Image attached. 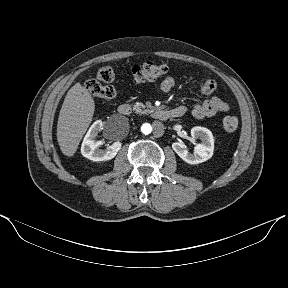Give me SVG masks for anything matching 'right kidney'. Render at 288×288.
Here are the masks:
<instances>
[{
  "instance_id": "right-kidney-1",
  "label": "right kidney",
  "mask_w": 288,
  "mask_h": 288,
  "mask_svg": "<svg viewBox=\"0 0 288 288\" xmlns=\"http://www.w3.org/2000/svg\"><path fill=\"white\" fill-rule=\"evenodd\" d=\"M104 129V124L101 120L95 121L87 134L84 137L81 146V153L84 157L92 161H107L113 159L121 149V142L116 141L106 150L99 149L101 141H96V137L100 131Z\"/></svg>"
}]
</instances>
